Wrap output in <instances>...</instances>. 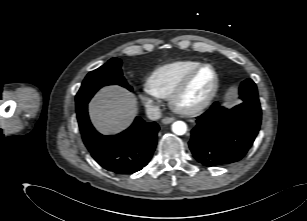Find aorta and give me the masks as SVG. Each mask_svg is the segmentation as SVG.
Listing matches in <instances>:
<instances>
[{"label": "aorta", "mask_w": 307, "mask_h": 221, "mask_svg": "<svg viewBox=\"0 0 307 221\" xmlns=\"http://www.w3.org/2000/svg\"><path fill=\"white\" fill-rule=\"evenodd\" d=\"M172 131L176 135H184L187 131V125L183 121H176L172 124Z\"/></svg>", "instance_id": "762f6f07"}]
</instances>
